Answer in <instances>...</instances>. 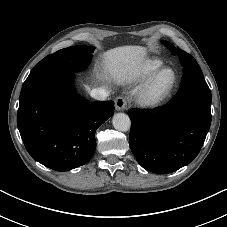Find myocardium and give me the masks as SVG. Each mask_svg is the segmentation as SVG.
I'll return each instance as SVG.
<instances>
[{
    "instance_id": "myocardium-1",
    "label": "myocardium",
    "mask_w": 227,
    "mask_h": 227,
    "mask_svg": "<svg viewBox=\"0 0 227 227\" xmlns=\"http://www.w3.org/2000/svg\"><path fill=\"white\" fill-rule=\"evenodd\" d=\"M172 74L171 82L165 87H159L160 77L166 73ZM178 81L176 71L171 67H162L149 76L138 93L139 102L144 106H155L167 99L174 90Z\"/></svg>"
}]
</instances>
